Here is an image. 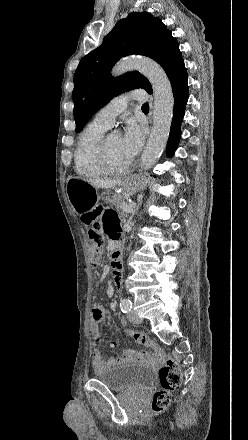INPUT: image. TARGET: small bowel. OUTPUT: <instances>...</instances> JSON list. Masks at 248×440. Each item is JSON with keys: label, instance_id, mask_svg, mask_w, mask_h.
<instances>
[{"label": "small bowel", "instance_id": "small-bowel-1", "mask_svg": "<svg viewBox=\"0 0 248 440\" xmlns=\"http://www.w3.org/2000/svg\"><path fill=\"white\" fill-rule=\"evenodd\" d=\"M104 231L110 236L111 239L114 237H120L119 232V223L120 220L118 218V215L113 211H106L104 212ZM114 268V267H113ZM114 281L115 285L117 287H120L121 285V269L120 267L114 268ZM114 288L112 285L108 286L107 294L110 298L113 297ZM114 303L111 302V306H113ZM105 321V312L104 309L100 305H95L91 312L89 327L90 332L94 338L95 341H98L100 339V326ZM154 359V356L149 353H136L134 351H126L125 352V360L130 361H141V362H147ZM119 360L109 357L107 359H104L102 354L99 351H95L93 354V367L96 372L102 371L103 369L115 365Z\"/></svg>", "mask_w": 248, "mask_h": 440}]
</instances>
